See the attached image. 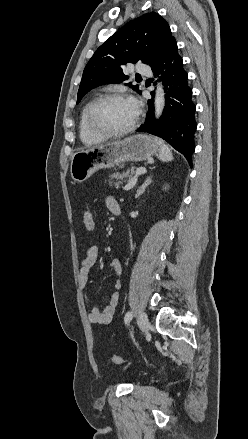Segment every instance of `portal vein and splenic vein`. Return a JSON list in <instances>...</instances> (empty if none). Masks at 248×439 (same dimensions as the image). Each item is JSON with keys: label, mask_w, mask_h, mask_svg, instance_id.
Wrapping results in <instances>:
<instances>
[{"label": "portal vein and splenic vein", "mask_w": 248, "mask_h": 439, "mask_svg": "<svg viewBox=\"0 0 248 439\" xmlns=\"http://www.w3.org/2000/svg\"><path fill=\"white\" fill-rule=\"evenodd\" d=\"M146 173V169L143 167L137 168L136 170V174L133 177V179L124 187V190H130L131 188H133L137 182V177L141 174Z\"/></svg>", "instance_id": "obj_1"}]
</instances>
